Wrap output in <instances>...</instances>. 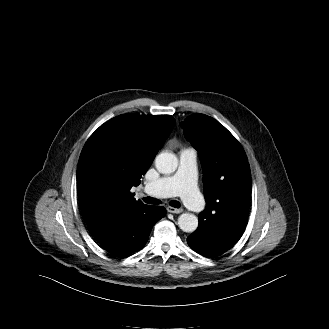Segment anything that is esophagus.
I'll return each instance as SVG.
<instances>
[{"mask_svg": "<svg viewBox=\"0 0 329 329\" xmlns=\"http://www.w3.org/2000/svg\"><path fill=\"white\" fill-rule=\"evenodd\" d=\"M167 211L170 212V213H175V214H179L183 211L182 208H174V207H171V206H168L167 207Z\"/></svg>", "mask_w": 329, "mask_h": 329, "instance_id": "1", "label": "esophagus"}]
</instances>
